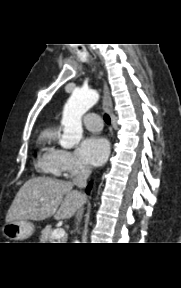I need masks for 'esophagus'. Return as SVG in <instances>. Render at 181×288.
<instances>
[{"instance_id":"obj_1","label":"esophagus","mask_w":181,"mask_h":288,"mask_svg":"<svg viewBox=\"0 0 181 288\" xmlns=\"http://www.w3.org/2000/svg\"><path fill=\"white\" fill-rule=\"evenodd\" d=\"M103 108L109 113L112 119V124H114L112 99L110 96L109 86L105 79L103 86Z\"/></svg>"}]
</instances>
